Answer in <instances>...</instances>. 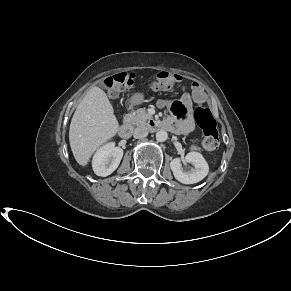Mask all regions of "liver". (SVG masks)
<instances>
[{
    "label": "liver",
    "instance_id": "1",
    "mask_svg": "<svg viewBox=\"0 0 291 291\" xmlns=\"http://www.w3.org/2000/svg\"><path fill=\"white\" fill-rule=\"evenodd\" d=\"M119 131V123L106 93L92 87L77 106L69 128L75 160L86 166L92 154Z\"/></svg>",
    "mask_w": 291,
    "mask_h": 291
}]
</instances>
